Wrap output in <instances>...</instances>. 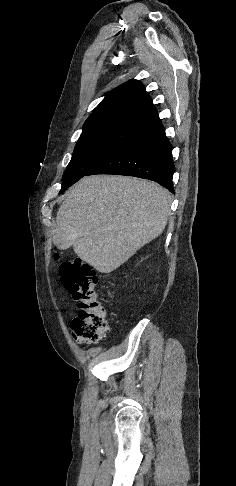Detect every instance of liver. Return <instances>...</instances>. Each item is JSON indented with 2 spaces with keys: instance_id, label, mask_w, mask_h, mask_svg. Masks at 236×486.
Returning <instances> with one entry per match:
<instances>
[{
  "instance_id": "6515ba94",
  "label": "liver",
  "mask_w": 236,
  "mask_h": 486,
  "mask_svg": "<svg viewBox=\"0 0 236 486\" xmlns=\"http://www.w3.org/2000/svg\"><path fill=\"white\" fill-rule=\"evenodd\" d=\"M170 205V193L154 182L89 176L69 189L56 223L80 259L110 273L163 232Z\"/></svg>"
}]
</instances>
